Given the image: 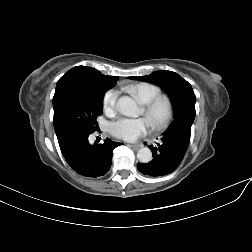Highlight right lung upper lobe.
<instances>
[{"label":"right lung upper lobe","instance_id":"1","mask_svg":"<svg viewBox=\"0 0 252 252\" xmlns=\"http://www.w3.org/2000/svg\"><path fill=\"white\" fill-rule=\"evenodd\" d=\"M118 77L106 76L92 67L76 66L64 74L57 82L56 91L67 85L105 86L112 88Z\"/></svg>","mask_w":252,"mask_h":252}]
</instances>
